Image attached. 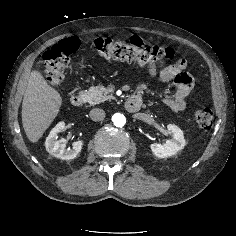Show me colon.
I'll use <instances>...</instances> for the list:
<instances>
[{
    "instance_id": "5ec220e1",
    "label": "colon",
    "mask_w": 236,
    "mask_h": 236,
    "mask_svg": "<svg viewBox=\"0 0 236 236\" xmlns=\"http://www.w3.org/2000/svg\"><path fill=\"white\" fill-rule=\"evenodd\" d=\"M93 46L103 58L134 62L140 66H150L174 57V51L171 48L147 46L135 41L123 42L100 37L94 41ZM78 47V39L70 37L61 40L44 52L45 77L48 83L58 85L62 82L70 55ZM193 117L202 129H210L213 125V112L208 107L195 109Z\"/></svg>"
}]
</instances>
